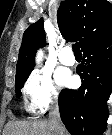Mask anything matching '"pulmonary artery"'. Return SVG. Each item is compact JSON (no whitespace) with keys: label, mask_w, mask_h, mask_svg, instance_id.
Listing matches in <instances>:
<instances>
[{"label":"pulmonary artery","mask_w":112,"mask_h":135,"mask_svg":"<svg viewBox=\"0 0 112 135\" xmlns=\"http://www.w3.org/2000/svg\"><path fill=\"white\" fill-rule=\"evenodd\" d=\"M58 57H59V61L64 65L72 66L75 64V57H74L72 50L69 46L63 47L60 50Z\"/></svg>","instance_id":"1"}]
</instances>
